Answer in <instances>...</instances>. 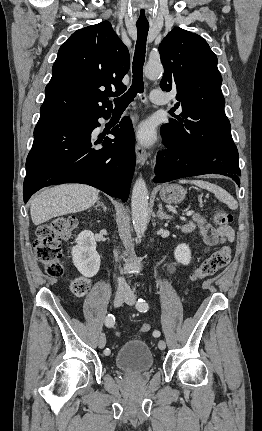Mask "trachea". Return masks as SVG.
Wrapping results in <instances>:
<instances>
[{
  "label": "trachea",
  "mask_w": 262,
  "mask_h": 431,
  "mask_svg": "<svg viewBox=\"0 0 262 431\" xmlns=\"http://www.w3.org/2000/svg\"><path fill=\"white\" fill-rule=\"evenodd\" d=\"M137 42L133 58V81L129 90L119 98L114 99L115 109L124 110L134 100L137 93L143 92V65L145 62L146 40L149 26L137 25Z\"/></svg>",
  "instance_id": "1"
}]
</instances>
